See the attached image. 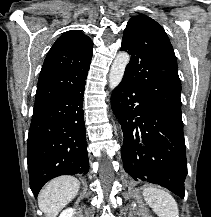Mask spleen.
Segmentation results:
<instances>
[{
  "label": "spleen",
  "mask_w": 211,
  "mask_h": 217,
  "mask_svg": "<svg viewBox=\"0 0 211 217\" xmlns=\"http://www.w3.org/2000/svg\"><path fill=\"white\" fill-rule=\"evenodd\" d=\"M143 196L158 217H179L178 205L168 192L148 187L144 189Z\"/></svg>",
  "instance_id": "obj_1"
}]
</instances>
